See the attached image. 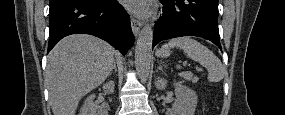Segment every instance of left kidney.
I'll return each mask as SVG.
<instances>
[{
  "label": "left kidney",
  "instance_id": "5707ae66",
  "mask_svg": "<svg viewBox=\"0 0 285 115\" xmlns=\"http://www.w3.org/2000/svg\"><path fill=\"white\" fill-rule=\"evenodd\" d=\"M166 80L158 78L156 87L164 89L166 87ZM176 100L172 105V110L169 115H194L197 106V94L192 89L182 85L181 82H175Z\"/></svg>",
  "mask_w": 285,
  "mask_h": 115
}]
</instances>
